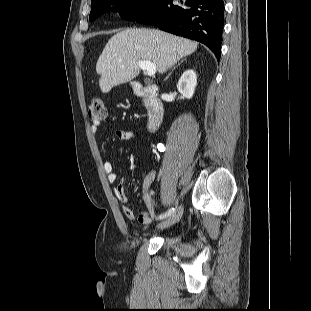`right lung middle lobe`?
<instances>
[{"label": "right lung middle lobe", "mask_w": 311, "mask_h": 311, "mask_svg": "<svg viewBox=\"0 0 311 311\" xmlns=\"http://www.w3.org/2000/svg\"><path fill=\"white\" fill-rule=\"evenodd\" d=\"M160 0H95L91 2V12L89 20L93 21L101 14L105 13L112 5L117 7L112 10L117 11L123 19L133 21L146 14L151 8L156 6Z\"/></svg>", "instance_id": "right-lung-middle-lobe-1"}]
</instances>
